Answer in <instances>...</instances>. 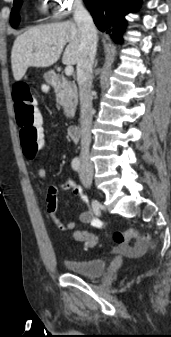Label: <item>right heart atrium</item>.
<instances>
[{
	"instance_id": "obj_1",
	"label": "right heart atrium",
	"mask_w": 171,
	"mask_h": 337,
	"mask_svg": "<svg viewBox=\"0 0 171 337\" xmlns=\"http://www.w3.org/2000/svg\"><path fill=\"white\" fill-rule=\"evenodd\" d=\"M80 4L81 0H44L43 8L52 18L58 19L66 16Z\"/></svg>"
}]
</instances>
